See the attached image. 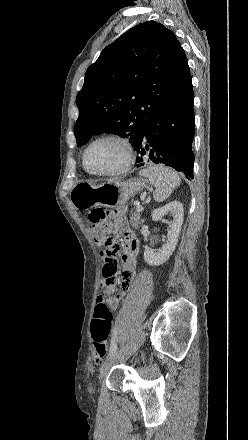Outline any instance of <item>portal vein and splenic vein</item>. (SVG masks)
<instances>
[{"label": "portal vein and splenic vein", "mask_w": 248, "mask_h": 440, "mask_svg": "<svg viewBox=\"0 0 248 440\" xmlns=\"http://www.w3.org/2000/svg\"><path fill=\"white\" fill-rule=\"evenodd\" d=\"M136 210L139 211V212H141V211L143 210L142 205L137 204Z\"/></svg>", "instance_id": "portal-vein-and-splenic-vein-1"}]
</instances>
